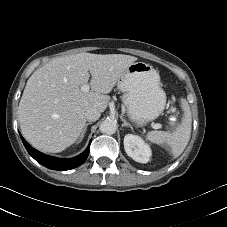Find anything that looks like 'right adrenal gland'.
I'll use <instances>...</instances> for the list:
<instances>
[{"mask_svg": "<svg viewBox=\"0 0 227 227\" xmlns=\"http://www.w3.org/2000/svg\"><path fill=\"white\" fill-rule=\"evenodd\" d=\"M90 124H92V123H91V122L86 123V125H85V127H84V129H83V132H82V134H81L80 137H79L78 143H80V142L82 141V139H83V137H84V135H85V133H86V131H87V127H88V125H90Z\"/></svg>", "mask_w": 227, "mask_h": 227, "instance_id": "right-adrenal-gland-1", "label": "right adrenal gland"}]
</instances>
